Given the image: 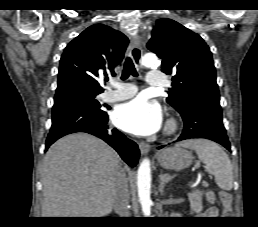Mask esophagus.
<instances>
[{
    "label": "esophagus",
    "mask_w": 258,
    "mask_h": 227,
    "mask_svg": "<svg viewBox=\"0 0 258 227\" xmlns=\"http://www.w3.org/2000/svg\"><path fill=\"white\" fill-rule=\"evenodd\" d=\"M130 51L134 62L140 66L142 50H141V42L138 37L131 42ZM139 149L142 155L147 154L150 151V145L145 142H141L139 144Z\"/></svg>",
    "instance_id": "esophagus-1"
}]
</instances>
